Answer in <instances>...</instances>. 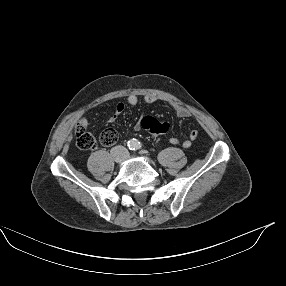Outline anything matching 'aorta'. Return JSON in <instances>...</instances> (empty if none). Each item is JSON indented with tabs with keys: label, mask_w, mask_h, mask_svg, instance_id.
Returning a JSON list of instances; mask_svg holds the SVG:
<instances>
[{
	"label": "aorta",
	"mask_w": 286,
	"mask_h": 286,
	"mask_svg": "<svg viewBox=\"0 0 286 286\" xmlns=\"http://www.w3.org/2000/svg\"><path fill=\"white\" fill-rule=\"evenodd\" d=\"M137 145H138V144H137V141H135V140H131V141H130V147H131V148H135V147H137Z\"/></svg>",
	"instance_id": "762f6f07"
}]
</instances>
